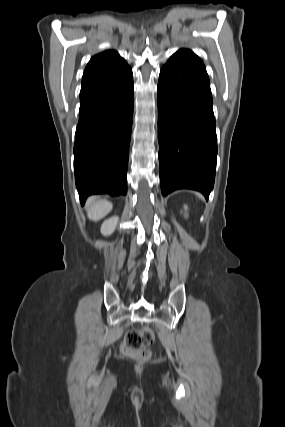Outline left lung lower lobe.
<instances>
[{
    "mask_svg": "<svg viewBox=\"0 0 285 427\" xmlns=\"http://www.w3.org/2000/svg\"><path fill=\"white\" fill-rule=\"evenodd\" d=\"M160 184L164 196L213 189L217 155L213 101L203 62L179 50L163 66L158 82Z\"/></svg>",
    "mask_w": 285,
    "mask_h": 427,
    "instance_id": "left-lung-lower-lobe-1",
    "label": "left lung lower lobe"
}]
</instances>
